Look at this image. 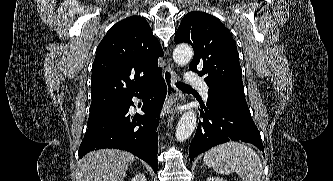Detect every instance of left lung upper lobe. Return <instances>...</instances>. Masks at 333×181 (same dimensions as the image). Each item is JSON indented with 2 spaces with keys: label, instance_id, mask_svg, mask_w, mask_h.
Returning <instances> with one entry per match:
<instances>
[{
  "label": "left lung upper lobe",
  "instance_id": "5c2ea615",
  "mask_svg": "<svg viewBox=\"0 0 333 181\" xmlns=\"http://www.w3.org/2000/svg\"><path fill=\"white\" fill-rule=\"evenodd\" d=\"M174 40L191 44L194 58L189 70L203 76L210 90L227 103L248 108L236 43L216 17L199 11L188 13Z\"/></svg>",
  "mask_w": 333,
  "mask_h": 181
}]
</instances>
